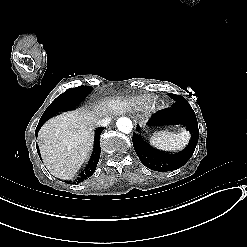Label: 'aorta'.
I'll return each instance as SVG.
<instances>
[{
    "label": "aorta",
    "mask_w": 247,
    "mask_h": 247,
    "mask_svg": "<svg viewBox=\"0 0 247 247\" xmlns=\"http://www.w3.org/2000/svg\"><path fill=\"white\" fill-rule=\"evenodd\" d=\"M119 131L128 134L133 129L132 121L127 117H121L116 122Z\"/></svg>",
    "instance_id": "aorta-1"
}]
</instances>
